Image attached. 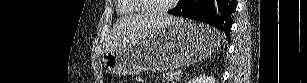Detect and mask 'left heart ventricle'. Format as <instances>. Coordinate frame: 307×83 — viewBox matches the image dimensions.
Wrapping results in <instances>:
<instances>
[{
  "instance_id": "left-heart-ventricle-1",
  "label": "left heart ventricle",
  "mask_w": 307,
  "mask_h": 83,
  "mask_svg": "<svg viewBox=\"0 0 307 83\" xmlns=\"http://www.w3.org/2000/svg\"><path fill=\"white\" fill-rule=\"evenodd\" d=\"M142 2L145 3L147 9L156 10L162 6H165L170 2V0H143Z\"/></svg>"
}]
</instances>
